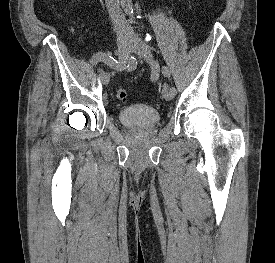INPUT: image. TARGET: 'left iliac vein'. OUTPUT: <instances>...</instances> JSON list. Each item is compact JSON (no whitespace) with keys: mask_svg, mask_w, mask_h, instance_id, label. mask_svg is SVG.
I'll return each instance as SVG.
<instances>
[{"mask_svg":"<svg viewBox=\"0 0 275 263\" xmlns=\"http://www.w3.org/2000/svg\"><path fill=\"white\" fill-rule=\"evenodd\" d=\"M130 49L150 64L153 70H157V65L154 62L150 48L140 39H132L130 42ZM162 96L166 100H171L174 98L175 94L170 89L164 88L162 90Z\"/></svg>","mask_w":275,"mask_h":263,"instance_id":"4c4485c4","label":"left iliac vein"}]
</instances>
